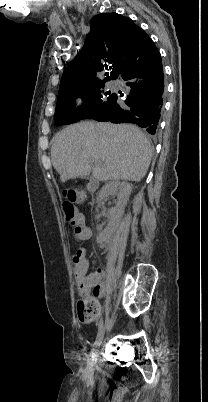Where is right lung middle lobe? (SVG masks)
Listing matches in <instances>:
<instances>
[{"label": "right lung middle lobe", "mask_w": 208, "mask_h": 402, "mask_svg": "<svg viewBox=\"0 0 208 402\" xmlns=\"http://www.w3.org/2000/svg\"><path fill=\"white\" fill-rule=\"evenodd\" d=\"M108 80L110 79L96 80L59 92L54 123L56 125L71 124L111 109L115 102V93L103 90ZM75 96L83 99V104L78 108L72 107L71 99Z\"/></svg>", "instance_id": "obj_1"}]
</instances>
